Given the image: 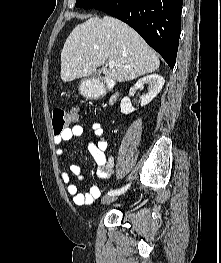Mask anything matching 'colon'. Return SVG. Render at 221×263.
<instances>
[{"label": "colon", "instance_id": "obj_1", "mask_svg": "<svg viewBox=\"0 0 221 263\" xmlns=\"http://www.w3.org/2000/svg\"><path fill=\"white\" fill-rule=\"evenodd\" d=\"M79 116L78 107H73L70 111L55 109L52 114V125L54 135H61L68 125L74 122Z\"/></svg>", "mask_w": 221, "mask_h": 263}]
</instances>
